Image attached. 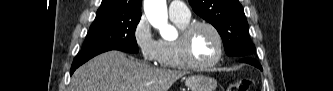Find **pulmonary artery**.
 Instances as JSON below:
<instances>
[{
  "label": "pulmonary artery",
  "mask_w": 333,
  "mask_h": 91,
  "mask_svg": "<svg viewBox=\"0 0 333 91\" xmlns=\"http://www.w3.org/2000/svg\"><path fill=\"white\" fill-rule=\"evenodd\" d=\"M168 11L171 17L189 18L191 15L188 7L181 1H173Z\"/></svg>",
  "instance_id": "obj_1"
}]
</instances>
